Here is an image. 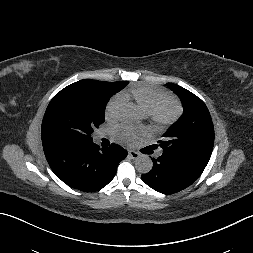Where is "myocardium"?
Masks as SVG:
<instances>
[{"label": "myocardium", "mask_w": 253, "mask_h": 253, "mask_svg": "<svg viewBox=\"0 0 253 253\" xmlns=\"http://www.w3.org/2000/svg\"><path fill=\"white\" fill-rule=\"evenodd\" d=\"M181 113L179 102L172 97H165L149 115L156 125L167 128L179 119Z\"/></svg>", "instance_id": "f54148a6"}]
</instances>
